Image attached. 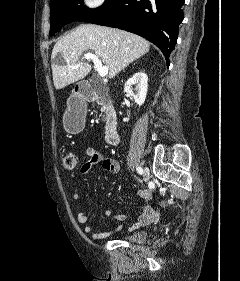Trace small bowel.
I'll return each mask as SVG.
<instances>
[{
	"mask_svg": "<svg viewBox=\"0 0 240 281\" xmlns=\"http://www.w3.org/2000/svg\"><path fill=\"white\" fill-rule=\"evenodd\" d=\"M85 155L88 160L82 164L80 172L82 174H87L93 166L101 164L102 168L112 174L120 173V165L114 159L104 158L103 155L95 148H87L85 150ZM72 198L75 201V215L76 220L79 224L85 225L87 223V216L84 212L83 202L81 200V194L76 187H72ZM137 195L148 202L151 198V193L148 190H139ZM155 209L149 203L145 204L142 213L139 215L137 221L132 224L128 231H134L140 227L150 224L155 218ZM106 215L108 217L114 218L118 221H124L126 216L123 214H118L113 210H107ZM118 230V229H117ZM84 231L87 234H92L94 239H103L110 236L113 232H95L94 228L89 225H85Z\"/></svg>",
	"mask_w": 240,
	"mask_h": 281,
	"instance_id": "c3829d8e",
	"label": "small bowel"
}]
</instances>
